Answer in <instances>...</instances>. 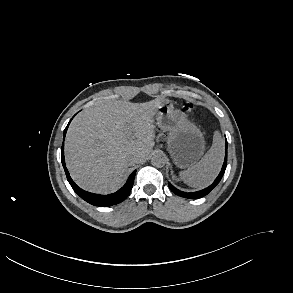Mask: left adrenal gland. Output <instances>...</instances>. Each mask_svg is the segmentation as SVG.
Returning <instances> with one entry per match:
<instances>
[{
    "label": "left adrenal gland",
    "mask_w": 293,
    "mask_h": 293,
    "mask_svg": "<svg viewBox=\"0 0 293 293\" xmlns=\"http://www.w3.org/2000/svg\"><path fill=\"white\" fill-rule=\"evenodd\" d=\"M171 175H172L173 178H175V175H174V173H173L172 168H171Z\"/></svg>",
    "instance_id": "a2214340"
}]
</instances>
